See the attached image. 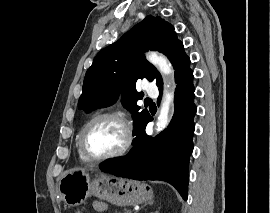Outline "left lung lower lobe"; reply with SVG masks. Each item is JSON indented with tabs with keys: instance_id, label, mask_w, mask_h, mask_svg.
I'll list each match as a JSON object with an SVG mask.
<instances>
[{
	"instance_id": "0a47b994",
	"label": "left lung lower lobe",
	"mask_w": 270,
	"mask_h": 213,
	"mask_svg": "<svg viewBox=\"0 0 270 213\" xmlns=\"http://www.w3.org/2000/svg\"><path fill=\"white\" fill-rule=\"evenodd\" d=\"M175 110L167 129L155 138L145 133L152 121L149 115L136 129L133 150L123 157L110 160L100 168L119 177L134 180H162L173 185L187 200L189 157L193 151L194 104L193 71L187 68L175 78ZM160 98L162 88H159ZM159 98V100H160Z\"/></svg>"
}]
</instances>
